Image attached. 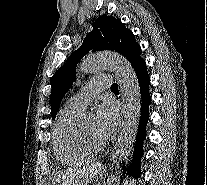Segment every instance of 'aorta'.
I'll use <instances>...</instances> for the list:
<instances>
[{
  "mask_svg": "<svg viewBox=\"0 0 207 185\" xmlns=\"http://www.w3.org/2000/svg\"><path fill=\"white\" fill-rule=\"evenodd\" d=\"M104 69L116 73L122 95V123L120 133L111 156L109 176L106 185H119L122 163L126 161L133 149L141 113V93L136 73L123 56L116 53H97L87 56L79 66L84 74L98 72ZM91 115H79L77 121L81 125L89 123Z\"/></svg>",
  "mask_w": 207,
  "mask_h": 185,
  "instance_id": "1",
  "label": "aorta"
}]
</instances>
